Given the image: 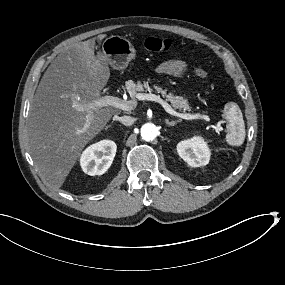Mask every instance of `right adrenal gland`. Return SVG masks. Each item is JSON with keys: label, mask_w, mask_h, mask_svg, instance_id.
<instances>
[{"label": "right adrenal gland", "mask_w": 285, "mask_h": 285, "mask_svg": "<svg viewBox=\"0 0 285 285\" xmlns=\"http://www.w3.org/2000/svg\"><path fill=\"white\" fill-rule=\"evenodd\" d=\"M110 127H111V125L105 126V130H107V129L110 128Z\"/></svg>", "instance_id": "2a0ac1e0"}]
</instances>
